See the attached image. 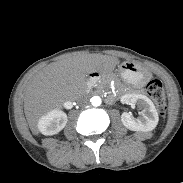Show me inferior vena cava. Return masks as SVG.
<instances>
[{
    "label": "inferior vena cava",
    "mask_w": 183,
    "mask_h": 183,
    "mask_svg": "<svg viewBox=\"0 0 183 183\" xmlns=\"http://www.w3.org/2000/svg\"><path fill=\"white\" fill-rule=\"evenodd\" d=\"M77 103L82 106L87 105L89 103V98L87 96H81L77 99Z\"/></svg>",
    "instance_id": "inferior-vena-cava-1"
}]
</instances>
